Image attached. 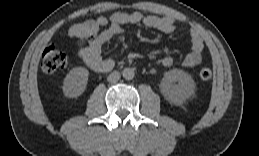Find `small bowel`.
I'll use <instances>...</instances> for the list:
<instances>
[{
  "instance_id": "small-bowel-1",
  "label": "small bowel",
  "mask_w": 259,
  "mask_h": 156,
  "mask_svg": "<svg viewBox=\"0 0 259 156\" xmlns=\"http://www.w3.org/2000/svg\"><path fill=\"white\" fill-rule=\"evenodd\" d=\"M143 24L148 28H153L163 33H174L178 30V20L172 16L147 15L140 11H118L109 17H98L87 20L71 27L69 35L78 46L79 57L94 71L107 72L112 69L114 62L112 59L101 56V47L114 36L124 33L122 28L125 24ZM190 52L182 61V66L186 68L198 65L202 60L204 43L197 30L191 29ZM159 64L164 67L173 65L174 60L170 56L159 59Z\"/></svg>"
}]
</instances>
